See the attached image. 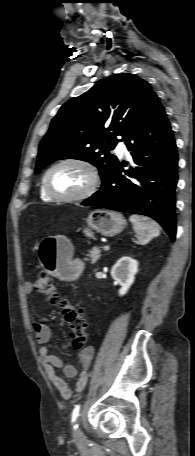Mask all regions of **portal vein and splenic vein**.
Masks as SVG:
<instances>
[{"instance_id":"18ae733b","label":"portal vein and splenic vein","mask_w":195,"mask_h":456,"mask_svg":"<svg viewBox=\"0 0 195 456\" xmlns=\"http://www.w3.org/2000/svg\"><path fill=\"white\" fill-rule=\"evenodd\" d=\"M109 249H110V247L108 245L103 246L104 251H108Z\"/></svg>"}]
</instances>
